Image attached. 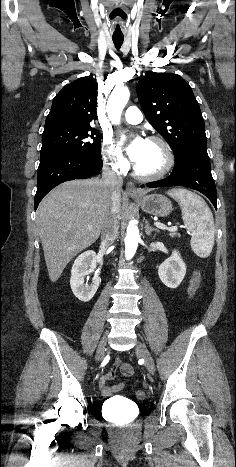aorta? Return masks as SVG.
<instances>
[{
  "mask_svg": "<svg viewBox=\"0 0 236 467\" xmlns=\"http://www.w3.org/2000/svg\"><path fill=\"white\" fill-rule=\"evenodd\" d=\"M130 98V92L128 88L117 87L115 88L108 98L107 102V114L113 124L118 125L120 123V117L124 107L126 106ZM140 240L139 229L133 223L129 222L125 237V257L131 259L136 253L138 243Z\"/></svg>",
  "mask_w": 236,
  "mask_h": 467,
  "instance_id": "1",
  "label": "aorta"
}]
</instances>
